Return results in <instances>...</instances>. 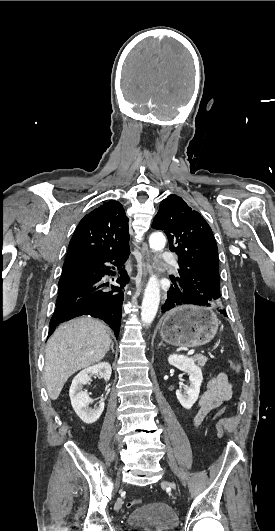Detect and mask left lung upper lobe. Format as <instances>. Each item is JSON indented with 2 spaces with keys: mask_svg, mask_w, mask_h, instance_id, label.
<instances>
[{
  "mask_svg": "<svg viewBox=\"0 0 275 531\" xmlns=\"http://www.w3.org/2000/svg\"><path fill=\"white\" fill-rule=\"evenodd\" d=\"M152 228L163 230L178 256L179 275L170 276L172 295L182 302L217 306L220 297L218 249L205 219L177 195L160 203Z\"/></svg>",
  "mask_w": 275,
  "mask_h": 531,
  "instance_id": "left-lung-upper-lobe-1",
  "label": "left lung upper lobe"
}]
</instances>
